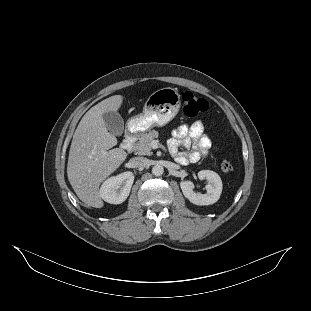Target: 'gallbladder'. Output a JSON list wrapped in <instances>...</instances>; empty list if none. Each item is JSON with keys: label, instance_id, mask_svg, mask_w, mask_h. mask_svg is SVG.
Returning a JSON list of instances; mask_svg holds the SVG:
<instances>
[{"label": "gallbladder", "instance_id": "gallbladder-1", "mask_svg": "<svg viewBox=\"0 0 311 311\" xmlns=\"http://www.w3.org/2000/svg\"><path fill=\"white\" fill-rule=\"evenodd\" d=\"M106 128L114 135H122L124 130V120L116 110L105 111L102 114Z\"/></svg>", "mask_w": 311, "mask_h": 311}]
</instances>
